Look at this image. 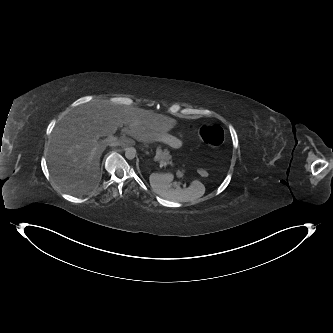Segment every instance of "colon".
<instances>
[{
    "label": "colon",
    "mask_w": 333,
    "mask_h": 333,
    "mask_svg": "<svg viewBox=\"0 0 333 333\" xmlns=\"http://www.w3.org/2000/svg\"><path fill=\"white\" fill-rule=\"evenodd\" d=\"M191 128L196 130L200 138L210 146H220L224 141V131L216 124H203L199 127L191 126ZM199 174L203 177L207 175L204 169H200Z\"/></svg>",
    "instance_id": "5ec220e1"
}]
</instances>
